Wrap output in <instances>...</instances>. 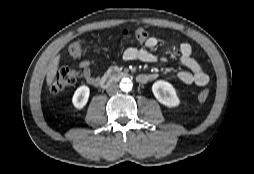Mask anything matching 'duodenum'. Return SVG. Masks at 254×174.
Wrapping results in <instances>:
<instances>
[{
	"mask_svg": "<svg viewBox=\"0 0 254 174\" xmlns=\"http://www.w3.org/2000/svg\"><path fill=\"white\" fill-rule=\"evenodd\" d=\"M128 75L127 72L122 71L119 68H112L101 78L99 85L107 87L117 80L128 77Z\"/></svg>",
	"mask_w": 254,
	"mask_h": 174,
	"instance_id": "410a0bca",
	"label": "duodenum"
}]
</instances>
